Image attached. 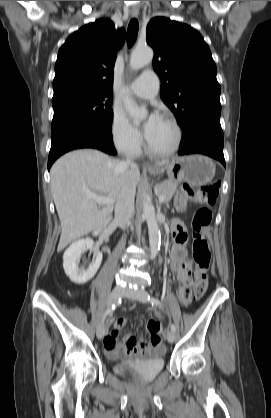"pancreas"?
<instances>
[{
  "instance_id": "pancreas-1",
  "label": "pancreas",
  "mask_w": 271,
  "mask_h": 418,
  "mask_svg": "<svg viewBox=\"0 0 271 418\" xmlns=\"http://www.w3.org/2000/svg\"><path fill=\"white\" fill-rule=\"evenodd\" d=\"M178 183L176 181L168 180L157 184L154 188L158 196H164V203H168L177 190Z\"/></svg>"
}]
</instances>
